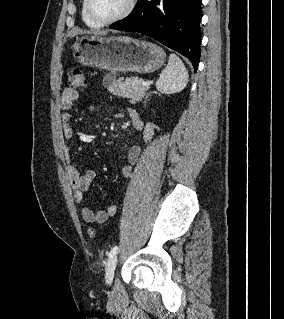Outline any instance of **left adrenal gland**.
Segmentation results:
<instances>
[{
	"label": "left adrenal gland",
	"mask_w": 284,
	"mask_h": 319,
	"mask_svg": "<svg viewBox=\"0 0 284 319\" xmlns=\"http://www.w3.org/2000/svg\"><path fill=\"white\" fill-rule=\"evenodd\" d=\"M151 95V92L147 93L145 96V99L148 98Z\"/></svg>",
	"instance_id": "1"
}]
</instances>
